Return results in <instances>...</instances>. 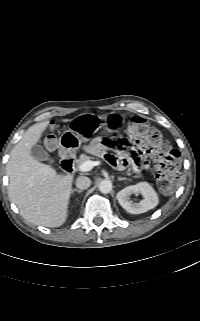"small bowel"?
<instances>
[{"label":"small bowel","instance_id":"obj_1","mask_svg":"<svg viewBox=\"0 0 200 321\" xmlns=\"http://www.w3.org/2000/svg\"><path fill=\"white\" fill-rule=\"evenodd\" d=\"M96 147L100 150L112 149L118 153V155L105 154L107 161L117 169H124L131 164L136 171H140L149 165L145 153L126 135L120 133L115 134L114 137L102 135Z\"/></svg>","mask_w":200,"mask_h":321}]
</instances>
